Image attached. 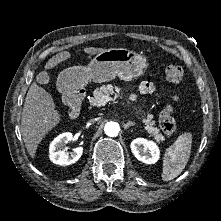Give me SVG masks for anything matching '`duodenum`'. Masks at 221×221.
I'll use <instances>...</instances> for the list:
<instances>
[{"mask_svg": "<svg viewBox=\"0 0 221 221\" xmlns=\"http://www.w3.org/2000/svg\"><path fill=\"white\" fill-rule=\"evenodd\" d=\"M84 92H85L84 90L80 92L76 91L74 93H71L70 95V100L68 101V105L71 108V113L74 118H77L80 115L81 112L80 107L83 102Z\"/></svg>", "mask_w": 221, "mask_h": 221, "instance_id": "duodenum-1", "label": "duodenum"}]
</instances>
